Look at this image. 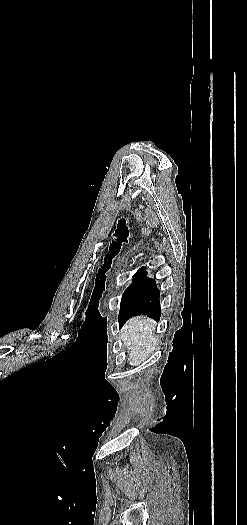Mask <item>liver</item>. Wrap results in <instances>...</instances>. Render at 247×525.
<instances>
[{
  "label": "liver",
  "instance_id": "1",
  "mask_svg": "<svg viewBox=\"0 0 247 525\" xmlns=\"http://www.w3.org/2000/svg\"><path fill=\"white\" fill-rule=\"evenodd\" d=\"M157 323L149 317H132L121 329L120 339L127 347L129 357L127 363L131 367H139L145 357H149L152 351H156L159 345V337H155L154 329Z\"/></svg>",
  "mask_w": 247,
  "mask_h": 525
}]
</instances>
